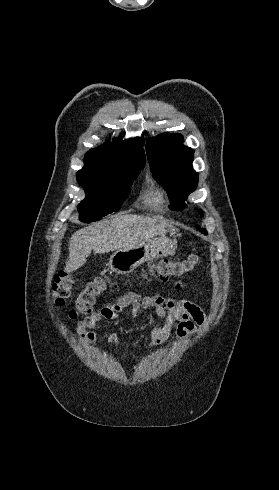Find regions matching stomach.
Instances as JSON below:
<instances>
[{"instance_id": "obj_1", "label": "stomach", "mask_w": 279, "mask_h": 490, "mask_svg": "<svg viewBox=\"0 0 279 490\" xmlns=\"http://www.w3.org/2000/svg\"><path fill=\"white\" fill-rule=\"evenodd\" d=\"M176 250V240L159 236V238H152V240H146L141 244H135L132 248L117 250L110 256L107 266L115 274H130L144 262L174 256Z\"/></svg>"}]
</instances>
